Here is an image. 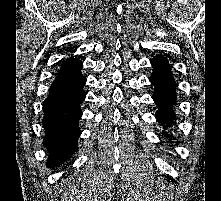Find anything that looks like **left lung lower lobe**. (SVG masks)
I'll return each mask as SVG.
<instances>
[{"label": "left lung lower lobe", "instance_id": "left-lung-lower-lobe-1", "mask_svg": "<svg viewBox=\"0 0 221 201\" xmlns=\"http://www.w3.org/2000/svg\"><path fill=\"white\" fill-rule=\"evenodd\" d=\"M151 64L153 73L149 80L155 87L152 98L158 106L156 118L164 128H168L175 119L176 83L171 73L170 64L165 57L156 56L151 60Z\"/></svg>", "mask_w": 221, "mask_h": 201}]
</instances>
